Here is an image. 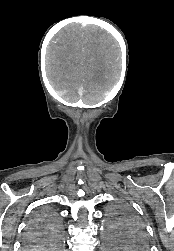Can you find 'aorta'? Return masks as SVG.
<instances>
[{
  "label": "aorta",
  "mask_w": 174,
  "mask_h": 251,
  "mask_svg": "<svg viewBox=\"0 0 174 251\" xmlns=\"http://www.w3.org/2000/svg\"><path fill=\"white\" fill-rule=\"evenodd\" d=\"M101 234V244L104 247V250L106 251H117L121 248V242L120 240L114 238L111 235V231L109 229V226L106 227L105 225L100 231Z\"/></svg>",
  "instance_id": "762f6f07"
}]
</instances>
